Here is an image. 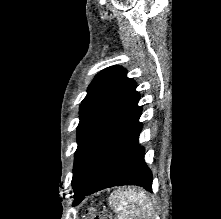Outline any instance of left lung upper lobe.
Wrapping results in <instances>:
<instances>
[{"mask_svg": "<svg viewBox=\"0 0 221 219\" xmlns=\"http://www.w3.org/2000/svg\"><path fill=\"white\" fill-rule=\"evenodd\" d=\"M136 87L135 81L128 78L120 66L104 69L91 82L80 106L73 187L95 147L139 99Z\"/></svg>", "mask_w": 221, "mask_h": 219, "instance_id": "5c2ea615", "label": "left lung upper lobe"}]
</instances>
